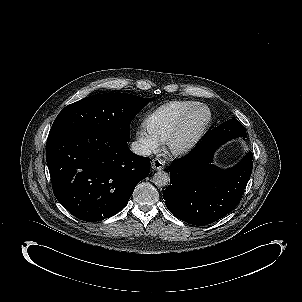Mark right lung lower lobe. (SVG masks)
Segmentation results:
<instances>
[{"label":"right lung lower lobe","mask_w":302,"mask_h":302,"mask_svg":"<svg viewBox=\"0 0 302 302\" xmlns=\"http://www.w3.org/2000/svg\"><path fill=\"white\" fill-rule=\"evenodd\" d=\"M46 161L57 200L87 222L122 210L150 172V158L134 154L127 141L93 128L48 136Z\"/></svg>","instance_id":"98d812e1"}]
</instances>
